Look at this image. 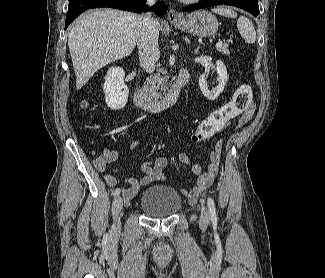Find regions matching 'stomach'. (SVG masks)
I'll return each instance as SVG.
<instances>
[{"label": "stomach", "mask_w": 325, "mask_h": 278, "mask_svg": "<svg viewBox=\"0 0 325 278\" xmlns=\"http://www.w3.org/2000/svg\"><path fill=\"white\" fill-rule=\"evenodd\" d=\"M172 24L182 31L202 37L212 36L218 30L216 17L206 10L190 13L179 21H172Z\"/></svg>", "instance_id": "1"}]
</instances>
